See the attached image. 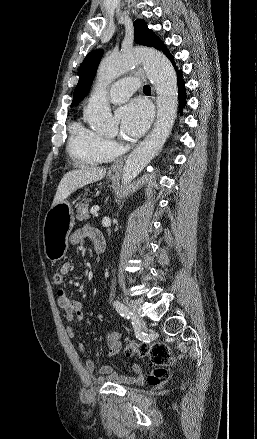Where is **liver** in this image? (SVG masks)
I'll use <instances>...</instances> for the list:
<instances>
[{"label": "liver", "mask_w": 257, "mask_h": 439, "mask_svg": "<svg viewBox=\"0 0 257 439\" xmlns=\"http://www.w3.org/2000/svg\"><path fill=\"white\" fill-rule=\"evenodd\" d=\"M105 169L82 168L67 172L61 179L52 206H55L68 198L77 189L103 179Z\"/></svg>", "instance_id": "1"}]
</instances>
